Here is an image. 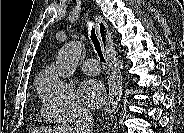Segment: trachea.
Segmentation results:
<instances>
[{
  "instance_id": "trachea-1",
  "label": "trachea",
  "mask_w": 184,
  "mask_h": 133,
  "mask_svg": "<svg viewBox=\"0 0 184 133\" xmlns=\"http://www.w3.org/2000/svg\"><path fill=\"white\" fill-rule=\"evenodd\" d=\"M90 37H91L92 43H93V45L95 47V50H96L100 60L102 62H105V58L103 56L102 45H101L100 40L98 39L97 35L95 34V30L94 29L91 30Z\"/></svg>"
}]
</instances>
